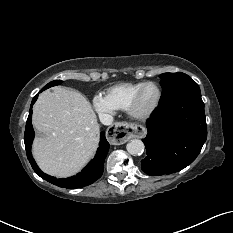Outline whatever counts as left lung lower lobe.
Here are the masks:
<instances>
[{"mask_svg": "<svg viewBox=\"0 0 233 233\" xmlns=\"http://www.w3.org/2000/svg\"><path fill=\"white\" fill-rule=\"evenodd\" d=\"M142 140L147 156L142 170L151 176L178 172L191 164L207 138L204 103L200 91L178 95L159 108L146 123Z\"/></svg>", "mask_w": 233, "mask_h": 233, "instance_id": "left-lung-lower-lobe-1", "label": "left lung lower lobe"}]
</instances>
